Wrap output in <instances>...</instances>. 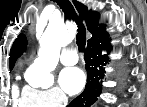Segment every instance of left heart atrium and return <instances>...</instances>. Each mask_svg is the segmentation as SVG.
I'll list each match as a JSON object with an SVG mask.
<instances>
[{"mask_svg": "<svg viewBox=\"0 0 147 107\" xmlns=\"http://www.w3.org/2000/svg\"><path fill=\"white\" fill-rule=\"evenodd\" d=\"M59 83L64 92L75 95L83 89L85 75L79 68H66L60 74Z\"/></svg>", "mask_w": 147, "mask_h": 107, "instance_id": "39dd6f15", "label": "left heart atrium"}]
</instances>
